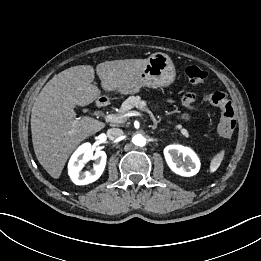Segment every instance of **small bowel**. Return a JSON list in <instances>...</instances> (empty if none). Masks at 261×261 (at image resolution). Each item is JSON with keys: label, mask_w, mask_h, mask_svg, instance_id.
I'll use <instances>...</instances> for the list:
<instances>
[{"label": "small bowel", "mask_w": 261, "mask_h": 261, "mask_svg": "<svg viewBox=\"0 0 261 261\" xmlns=\"http://www.w3.org/2000/svg\"><path fill=\"white\" fill-rule=\"evenodd\" d=\"M195 101V95L194 94H187L184 98V103L189 109H193V103ZM186 117V115H185Z\"/></svg>", "instance_id": "c3829d8e"}]
</instances>
